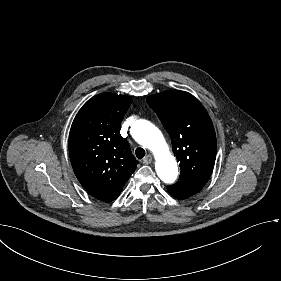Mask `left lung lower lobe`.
I'll return each instance as SVG.
<instances>
[{"label":"left lung lower lobe","mask_w":281,"mask_h":281,"mask_svg":"<svg viewBox=\"0 0 281 281\" xmlns=\"http://www.w3.org/2000/svg\"><path fill=\"white\" fill-rule=\"evenodd\" d=\"M167 190H168V192H169L173 197H175V198H177V199H185V198H187V197H185V196H183V195H180V194L171 192L169 189H167Z\"/></svg>","instance_id":"left-lung-lower-lobe-1"}]
</instances>
